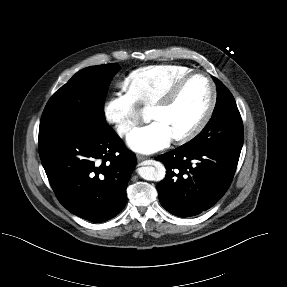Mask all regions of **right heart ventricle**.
I'll list each match as a JSON object with an SVG mask.
<instances>
[{"mask_svg":"<svg viewBox=\"0 0 287 287\" xmlns=\"http://www.w3.org/2000/svg\"><path fill=\"white\" fill-rule=\"evenodd\" d=\"M191 69L181 65H154L133 71L126 86L139 104L152 106L166 91Z\"/></svg>","mask_w":287,"mask_h":287,"instance_id":"e07e8e85","label":"right heart ventricle"}]
</instances>
